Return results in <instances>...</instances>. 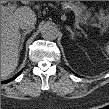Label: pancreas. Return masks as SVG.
I'll use <instances>...</instances> for the list:
<instances>
[{"label": "pancreas", "mask_w": 109, "mask_h": 109, "mask_svg": "<svg viewBox=\"0 0 109 109\" xmlns=\"http://www.w3.org/2000/svg\"><path fill=\"white\" fill-rule=\"evenodd\" d=\"M63 7V9H69L72 10L75 14L76 19H78L81 23L86 24V21L91 17V13L86 11L87 7L84 4H81L80 2H71V1H63L60 3ZM96 17L99 20V23L92 24L93 26L99 27L101 31L106 32L109 27V19L107 16H104L103 14L96 15ZM91 20H95L94 17L91 18Z\"/></svg>", "instance_id": "cf45deb5"}]
</instances>
